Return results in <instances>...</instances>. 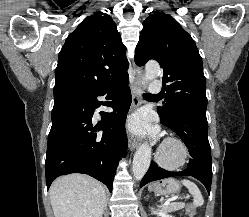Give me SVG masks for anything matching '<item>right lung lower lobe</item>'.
Masks as SVG:
<instances>
[{
	"label": "right lung lower lobe",
	"instance_id": "98d812e1",
	"mask_svg": "<svg viewBox=\"0 0 249 217\" xmlns=\"http://www.w3.org/2000/svg\"><path fill=\"white\" fill-rule=\"evenodd\" d=\"M129 78L125 77L97 89L60 88L54 90L52 127L45 161L46 185L70 173L88 174L112 191L113 178L121 157L127 153L125 120L131 105ZM112 99V113L100 112L95 123L93 113ZM102 130V132H100Z\"/></svg>",
	"mask_w": 249,
	"mask_h": 217
}]
</instances>
